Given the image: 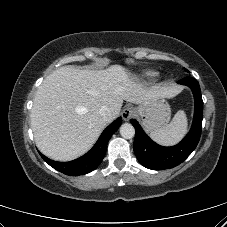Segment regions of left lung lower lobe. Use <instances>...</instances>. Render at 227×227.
<instances>
[{
	"instance_id": "obj_1",
	"label": "left lung lower lobe",
	"mask_w": 227,
	"mask_h": 227,
	"mask_svg": "<svg viewBox=\"0 0 227 227\" xmlns=\"http://www.w3.org/2000/svg\"><path fill=\"white\" fill-rule=\"evenodd\" d=\"M178 83L190 87L195 100L191 130L179 144L172 147L160 146L145 134L136 120H131L136 131L134 153L138 161L148 169L161 170L179 165L193 152L199 142L203 118V100L199 83L192 77H185Z\"/></svg>"
}]
</instances>
